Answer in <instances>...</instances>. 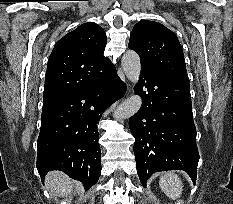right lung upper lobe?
Wrapping results in <instances>:
<instances>
[{
  "label": "right lung upper lobe",
  "mask_w": 233,
  "mask_h": 204,
  "mask_svg": "<svg viewBox=\"0 0 233 204\" xmlns=\"http://www.w3.org/2000/svg\"><path fill=\"white\" fill-rule=\"evenodd\" d=\"M106 43L104 30L93 22L61 38L48 60L43 105L96 82L112 66L103 55Z\"/></svg>",
  "instance_id": "right-lung-upper-lobe-1"
}]
</instances>
